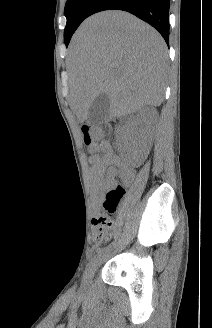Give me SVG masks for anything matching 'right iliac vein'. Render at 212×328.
I'll return each instance as SVG.
<instances>
[{
    "label": "right iliac vein",
    "instance_id": "obj_1",
    "mask_svg": "<svg viewBox=\"0 0 212 328\" xmlns=\"http://www.w3.org/2000/svg\"><path fill=\"white\" fill-rule=\"evenodd\" d=\"M99 263H100V259H99V260L95 263V265H94L93 267H91L90 270L87 272L86 276L84 277V281H83V283H84L85 285H88V284L91 282V280H92V278H93V276H94V273H95V271L97 270V267H98Z\"/></svg>",
    "mask_w": 212,
    "mask_h": 328
}]
</instances>
